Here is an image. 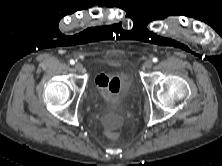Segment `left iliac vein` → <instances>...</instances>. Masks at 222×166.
<instances>
[{
    "label": "left iliac vein",
    "mask_w": 222,
    "mask_h": 166,
    "mask_svg": "<svg viewBox=\"0 0 222 166\" xmlns=\"http://www.w3.org/2000/svg\"><path fill=\"white\" fill-rule=\"evenodd\" d=\"M153 66V62L151 60H147L144 62V67L146 69H150Z\"/></svg>",
    "instance_id": "4c4485c4"
}]
</instances>
